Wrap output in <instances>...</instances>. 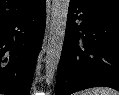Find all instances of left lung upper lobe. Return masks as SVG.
I'll return each mask as SVG.
<instances>
[{
	"instance_id": "5c2ea615",
	"label": "left lung upper lobe",
	"mask_w": 119,
	"mask_h": 95,
	"mask_svg": "<svg viewBox=\"0 0 119 95\" xmlns=\"http://www.w3.org/2000/svg\"><path fill=\"white\" fill-rule=\"evenodd\" d=\"M96 9L119 14V0H80Z\"/></svg>"
}]
</instances>
